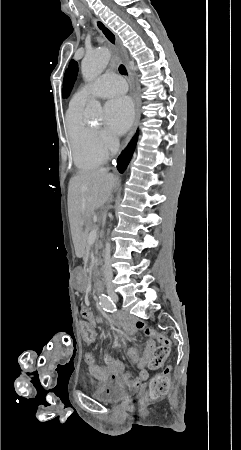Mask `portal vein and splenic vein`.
Segmentation results:
<instances>
[{
    "label": "portal vein and splenic vein",
    "instance_id": "portal-vein-and-splenic-vein-1",
    "mask_svg": "<svg viewBox=\"0 0 241 450\" xmlns=\"http://www.w3.org/2000/svg\"><path fill=\"white\" fill-rule=\"evenodd\" d=\"M88 226H90V224H88ZM97 232H98V228H95V230H92V232H90V234L88 236L89 242H94V240H96Z\"/></svg>",
    "mask_w": 241,
    "mask_h": 450
}]
</instances>
